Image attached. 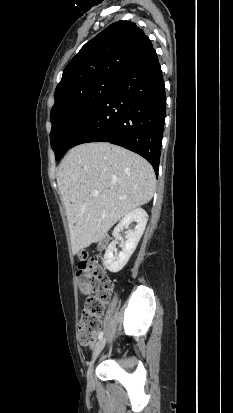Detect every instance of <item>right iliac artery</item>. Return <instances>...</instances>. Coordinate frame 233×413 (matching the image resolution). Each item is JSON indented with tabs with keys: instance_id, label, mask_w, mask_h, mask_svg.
Segmentation results:
<instances>
[{
	"instance_id": "82829eb1",
	"label": "right iliac artery",
	"mask_w": 233,
	"mask_h": 413,
	"mask_svg": "<svg viewBox=\"0 0 233 413\" xmlns=\"http://www.w3.org/2000/svg\"><path fill=\"white\" fill-rule=\"evenodd\" d=\"M103 337V332L99 333L98 339H101Z\"/></svg>"
}]
</instances>
